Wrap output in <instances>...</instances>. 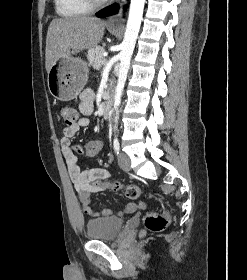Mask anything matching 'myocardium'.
I'll use <instances>...</instances> for the list:
<instances>
[{"label":"myocardium","instance_id":"1","mask_svg":"<svg viewBox=\"0 0 247 280\" xmlns=\"http://www.w3.org/2000/svg\"><path fill=\"white\" fill-rule=\"evenodd\" d=\"M108 0H87L91 7H98L106 3Z\"/></svg>","mask_w":247,"mask_h":280}]
</instances>
